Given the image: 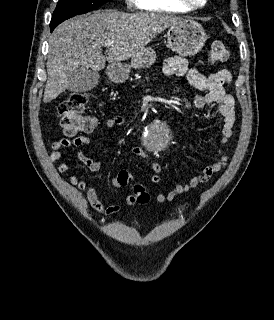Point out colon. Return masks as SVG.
<instances>
[{"instance_id": "1", "label": "colon", "mask_w": 274, "mask_h": 320, "mask_svg": "<svg viewBox=\"0 0 274 320\" xmlns=\"http://www.w3.org/2000/svg\"><path fill=\"white\" fill-rule=\"evenodd\" d=\"M210 61L214 64H224L229 60V53L222 43H214L209 50ZM93 98L89 91L74 92L57 107V114L60 118V127L64 134H82L85 130V120H97L94 116L85 113L88 102ZM117 185L127 186L128 182H134L135 176L128 175V169H117ZM132 196L140 203H146L149 200V194L145 188L138 184L134 187Z\"/></svg>"}]
</instances>
